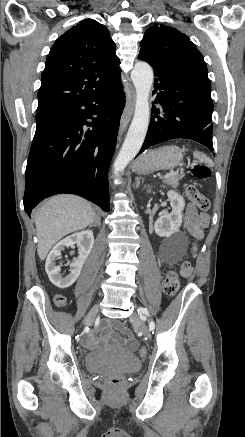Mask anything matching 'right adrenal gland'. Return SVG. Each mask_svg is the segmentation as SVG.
<instances>
[{
	"label": "right adrenal gland",
	"mask_w": 245,
	"mask_h": 437,
	"mask_svg": "<svg viewBox=\"0 0 245 437\" xmlns=\"http://www.w3.org/2000/svg\"><path fill=\"white\" fill-rule=\"evenodd\" d=\"M100 225H101L100 217L97 215L96 218H95V221L90 225V227L100 226Z\"/></svg>",
	"instance_id": "obj_1"
}]
</instances>
